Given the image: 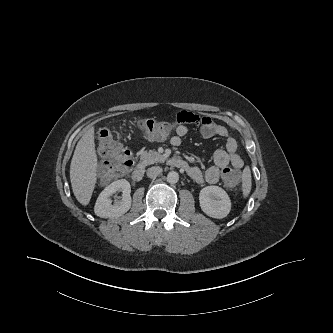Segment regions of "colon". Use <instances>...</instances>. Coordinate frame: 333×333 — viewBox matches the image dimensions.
Returning <instances> with one entry per match:
<instances>
[{"label":"colon","mask_w":333,"mask_h":333,"mask_svg":"<svg viewBox=\"0 0 333 333\" xmlns=\"http://www.w3.org/2000/svg\"><path fill=\"white\" fill-rule=\"evenodd\" d=\"M141 132L148 138L160 140L168 137L173 131L174 124L154 119H142L138 122ZM98 148L100 154L106 159L99 168L101 179L110 181L126 174L133 165L130 151L116 141L107 128L98 132ZM226 186L233 188L238 184L239 173L235 169L227 168L223 171Z\"/></svg>","instance_id":"colon-1"}]
</instances>
